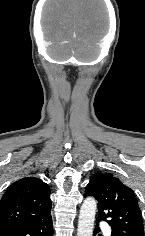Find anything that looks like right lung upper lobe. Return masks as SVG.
<instances>
[{"label": "right lung upper lobe", "mask_w": 145, "mask_h": 236, "mask_svg": "<svg viewBox=\"0 0 145 236\" xmlns=\"http://www.w3.org/2000/svg\"><path fill=\"white\" fill-rule=\"evenodd\" d=\"M51 213L50 188L41 179L13 183L0 200V229L38 221Z\"/></svg>", "instance_id": "1"}]
</instances>
